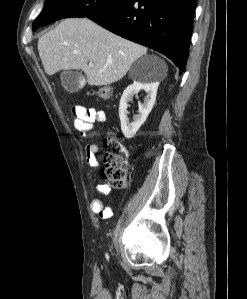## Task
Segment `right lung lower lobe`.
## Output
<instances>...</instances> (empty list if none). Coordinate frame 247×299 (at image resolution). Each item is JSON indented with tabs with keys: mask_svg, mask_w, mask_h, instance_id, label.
I'll use <instances>...</instances> for the list:
<instances>
[{
	"mask_svg": "<svg viewBox=\"0 0 247 299\" xmlns=\"http://www.w3.org/2000/svg\"><path fill=\"white\" fill-rule=\"evenodd\" d=\"M196 0H125L88 16L109 31L152 48L185 70Z\"/></svg>",
	"mask_w": 247,
	"mask_h": 299,
	"instance_id": "right-lung-lower-lobe-1",
	"label": "right lung lower lobe"
}]
</instances>
